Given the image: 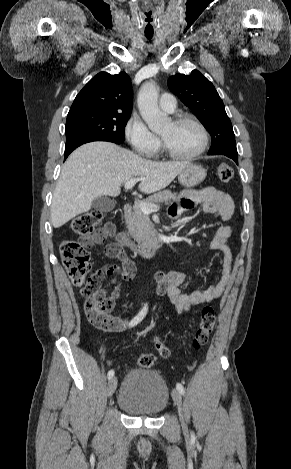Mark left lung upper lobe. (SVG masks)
Instances as JSON below:
<instances>
[{"label": "left lung upper lobe", "instance_id": "left-lung-upper-lobe-1", "mask_svg": "<svg viewBox=\"0 0 291 469\" xmlns=\"http://www.w3.org/2000/svg\"><path fill=\"white\" fill-rule=\"evenodd\" d=\"M170 90L189 107L212 136L208 154L237 153L235 135L224 104L213 84L199 71L168 79Z\"/></svg>", "mask_w": 291, "mask_h": 469}]
</instances>
